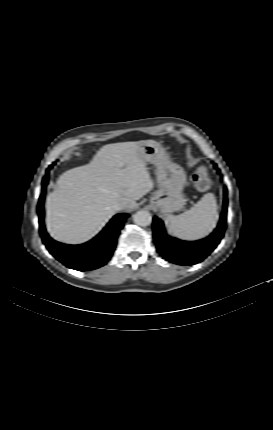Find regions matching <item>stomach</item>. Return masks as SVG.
I'll return each mask as SVG.
<instances>
[{"mask_svg":"<svg viewBox=\"0 0 273 430\" xmlns=\"http://www.w3.org/2000/svg\"><path fill=\"white\" fill-rule=\"evenodd\" d=\"M138 155L146 163L156 166L158 189L150 203L158 207L162 214L168 215L183 208L185 197L183 188L186 173L182 167L169 160L163 146L154 140H144L138 146Z\"/></svg>","mask_w":273,"mask_h":430,"instance_id":"obj_1","label":"stomach"}]
</instances>
